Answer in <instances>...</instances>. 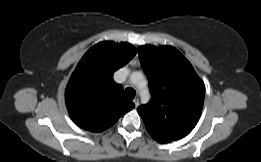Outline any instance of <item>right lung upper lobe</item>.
<instances>
[{
    "label": "right lung upper lobe",
    "instance_id": "obj_1",
    "mask_svg": "<svg viewBox=\"0 0 261 162\" xmlns=\"http://www.w3.org/2000/svg\"><path fill=\"white\" fill-rule=\"evenodd\" d=\"M136 52L129 43L111 41L100 42L86 52L65 91L66 106L76 125L91 132H101L134 108V103L123 98V88L112 76Z\"/></svg>",
    "mask_w": 261,
    "mask_h": 162
}]
</instances>
